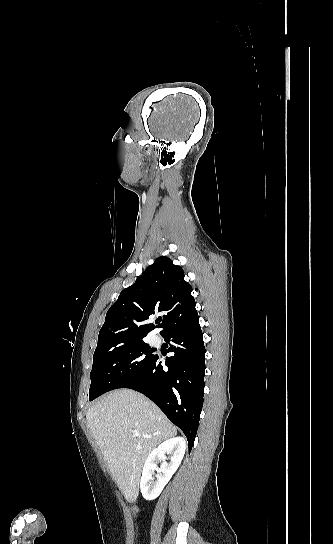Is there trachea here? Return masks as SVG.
<instances>
[{"mask_svg":"<svg viewBox=\"0 0 333 544\" xmlns=\"http://www.w3.org/2000/svg\"><path fill=\"white\" fill-rule=\"evenodd\" d=\"M161 322V318L157 319V323H160Z\"/></svg>","mask_w":333,"mask_h":544,"instance_id":"trachea-1","label":"trachea"}]
</instances>
